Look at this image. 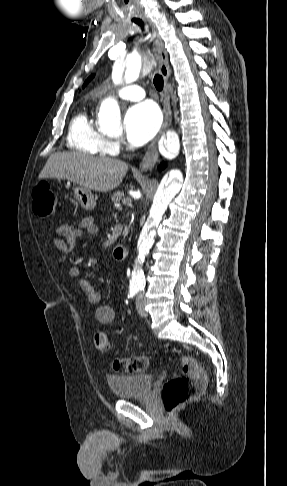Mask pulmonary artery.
<instances>
[{
	"mask_svg": "<svg viewBox=\"0 0 287 486\" xmlns=\"http://www.w3.org/2000/svg\"><path fill=\"white\" fill-rule=\"evenodd\" d=\"M116 95L125 100L139 101L145 97V92L138 85H128L118 89Z\"/></svg>",
	"mask_w": 287,
	"mask_h": 486,
	"instance_id": "e3ab8cb5",
	"label": "pulmonary artery"
}]
</instances>
